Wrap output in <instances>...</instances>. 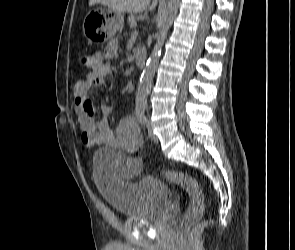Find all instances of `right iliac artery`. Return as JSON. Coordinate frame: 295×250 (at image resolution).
<instances>
[{
    "label": "right iliac artery",
    "instance_id": "82829eb1",
    "mask_svg": "<svg viewBox=\"0 0 295 250\" xmlns=\"http://www.w3.org/2000/svg\"><path fill=\"white\" fill-rule=\"evenodd\" d=\"M137 117H138V120L141 123V125H145V115H144V111L142 109H139L137 111Z\"/></svg>",
    "mask_w": 295,
    "mask_h": 250
}]
</instances>
